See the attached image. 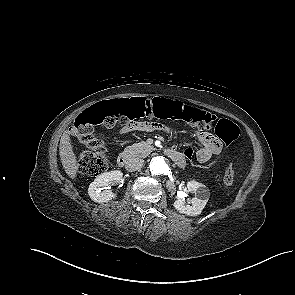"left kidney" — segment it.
<instances>
[{
    "label": "left kidney",
    "instance_id": "left-kidney-1",
    "mask_svg": "<svg viewBox=\"0 0 295 295\" xmlns=\"http://www.w3.org/2000/svg\"><path fill=\"white\" fill-rule=\"evenodd\" d=\"M187 189L190 192L193 191L195 197L187 201L184 198H179L173 203V206L180 213L188 216H197L202 212L208 202L210 191L205 185L197 181H189L187 183Z\"/></svg>",
    "mask_w": 295,
    "mask_h": 295
}]
</instances>
